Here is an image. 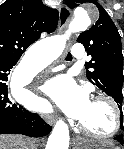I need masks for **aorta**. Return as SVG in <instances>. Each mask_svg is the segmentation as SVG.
<instances>
[{
	"mask_svg": "<svg viewBox=\"0 0 124 149\" xmlns=\"http://www.w3.org/2000/svg\"><path fill=\"white\" fill-rule=\"evenodd\" d=\"M91 24V20L87 12L79 8L74 12L73 19L70 21L68 31L64 35H56L49 37L43 41V46L61 52L64 49L66 39L72 32L86 30ZM31 60L23 59L19 66L15 69L12 76V88L16 85L23 86L25 76L31 73ZM22 80V81H21ZM69 146V130L68 126L59 120L49 136L45 149H68Z\"/></svg>",
	"mask_w": 124,
	"mask_h": 149,
	"instance_id": "1",
	"label": "aorta"
}]
</instances>
